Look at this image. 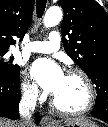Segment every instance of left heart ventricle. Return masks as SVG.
I'll list each match as a JSON object with an SVG mask.
<instances>
[{
  "label": "left heart ventricle",
  "instance_id": "left-heart-ventricle-1",
  "mask_svg": "<svg viewBox=\"0 0 108 127\" xmlns=\"http://www.w3.org/2000/svg\"><path fill=\"white\" fill-rule=\"evenodd\" d=\"M53 97L62 108L77 110L85 105L87 92L79 76L66 74L59 89L53 94Z\"/></svg>",
  "mask_w": 108,
  "mask_h": 127
}]
</instances>
